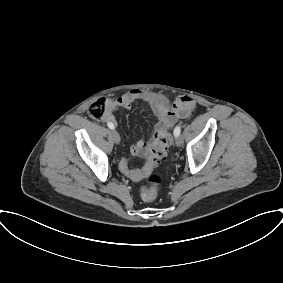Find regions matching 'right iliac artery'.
<instances>
[{
	"mask_svg": "<svg viewBox=\"0 0 283 283\" xmlns=\"http://www.w3.org/2000/svg\"><path fill=\"white\" fill-rule=\"evenodd\" d=\"M107 126L112 130L115 129L114 124H112L110 122L107 123Z\"/></svg>",
	"mask_w": 283,
	"mask_h": 283,
	"instance_id": "right-iliac-artery-1",
	"label": "right iliac artery"
}]
</instances>
